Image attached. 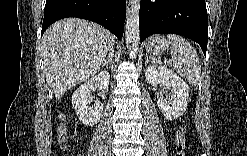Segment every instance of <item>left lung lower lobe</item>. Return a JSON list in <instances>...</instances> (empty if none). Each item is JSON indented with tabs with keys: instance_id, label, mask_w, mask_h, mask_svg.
<instances>
[{
	"instance_id": "0a47b994",
	"label": "left lung lower lobe",
	"mask_w": 247,
	"mask_h": 156,
	"mask_svg": "<svg viewBox=\"0 0 247 156\" xmlns=\"http://www.w3.org/2000/svg\"><path fill=\"white\" fill-rule=\"evenodd\" d=\"M140 41L153 34H179L197 42L206 55L208 16L205 0H141Z\"/></svg>"
}]
</instances>
